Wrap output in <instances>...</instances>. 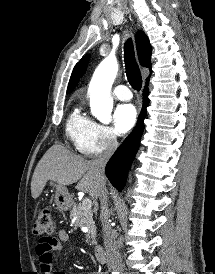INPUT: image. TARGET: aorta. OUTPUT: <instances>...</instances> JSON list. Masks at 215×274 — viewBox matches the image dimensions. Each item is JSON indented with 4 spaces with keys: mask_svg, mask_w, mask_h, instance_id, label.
<instances>
[{
    "mask_svg": "<svg viewBox=\"0 0 215 274\" xmlns=\"http://www.w3.org/2000/svg\"><path fill=\"white\" fill-rule=\"evenodd\" d=\"M117 71V60L113 57H107L95 70L89 85L91 113L105 124L111 122L113 100L110 91Z\"/></svg>",
    "mask_w": 215,
    "mask_h": 274,
    "instance_id": "aorta-1",
    "label": "aorta"
}]
</instances>
